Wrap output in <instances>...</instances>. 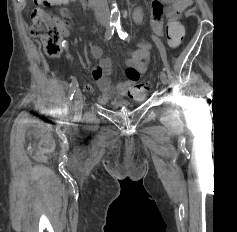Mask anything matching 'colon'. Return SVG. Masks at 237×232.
<instances>
[{"label":"colon","instance_id":"1","mask_svg":"<svg viewBox=\"0 0 237 232\" xmlns=\"http://www.w3.org/2000/svg\"><path fill=\"white\" fill-rule=\"evenodd\" d=\"M45 7L52 5H64L65 0H37ZM65 19L68 21L71 13L66 9ZM32 25L30 34L38 38L43 46L44 52L50 57H56L60 54L64 42L63 32L57 24L56 18L50 15L45 9L37 7L31 14ZM167 42L171 49L180 46L184 37V28L178 20H169L166 25ZM150 88L149 85H146Z\"/></svg>","mask_w":237,"mask_h":232}]
</instances>
